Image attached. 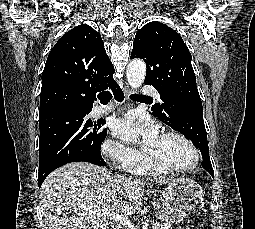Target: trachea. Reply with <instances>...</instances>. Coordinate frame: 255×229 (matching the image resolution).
<instances>
[{
    "mask_svg": "<svg viewBox=\"0 0 255 229\" xmlns=\"http://www.w3.org/2000/svg\"><path fill=\"white\" fill-rule=\"evenodd\" d=\"M98 98L100 99L101 102H107L112 99V94L109 91L101 92L98 94ZM130 98L137 99V98H148V97L143 95H138V94H132L130 95Z\"/></svg>",
    "mask_w": 255,
    "mask_h": 229,
    "instance_id": "1",
    "label": "trachea"
}]
</instances>
